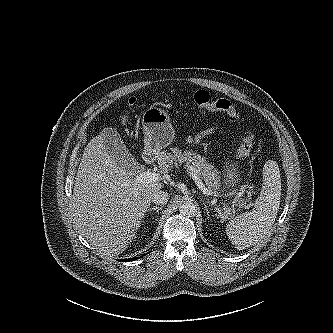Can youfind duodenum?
Here are the masks:
<instances>
[{"instance_id":"410a0bca","label":"duodenum","mask_w":333,"mask_h":333,"mask_svg":"<svg viewBox=\"0 0 333 333\" xmlns=\"http://www.w3.org/2000/svg\"><path fill=\"white\" fill-rule=\"evenodd\" d=\"M155 161V153L152 151H147L143 156V164L148 166Z\"/></svg>"}]
</instances>
